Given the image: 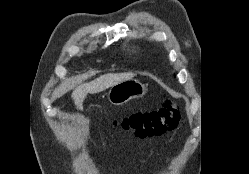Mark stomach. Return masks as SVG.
I'll return each instance as SVG.
<instances>
[{
  "mask_svg": "<svg viewBox=\"0 0 249 174\" xmlns=\"http://www.w3.org/2000/svg\"><path fill=\"white\" fill-rule=\"evenodd\" d=\"M146 92L147 88L144 84L130 79L112 86L108 93V100L114 105H123L131 99L142 97Z\"/></svg>",
  "mask_w": 249,
  "mask_h": 174,
  "instance_id": "1",
  "label": "stomach"
}]
</instances>
